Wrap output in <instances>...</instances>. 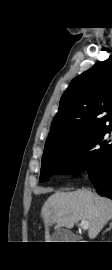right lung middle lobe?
I'll return each mask as SVG.
<instances>
[{"mask_svg": "<svg viewBox=\"0 0 112 270\" xmlns=\"http://www.w3.org/2000/svg\"><path fill=\"white\" fill-rule=\"evenodd\" d=\"M111 126L96 129L66 143L45 147L40 181L47 180L54 173L98 170L112 149V138L108 137Z\"/></svg>", "mask_w": 112, "mask_h": 270, "instance_id": "dd1d6c3e", "label": "right lung middle lobe"}]
</instances>
